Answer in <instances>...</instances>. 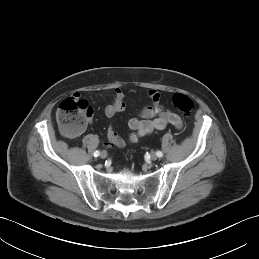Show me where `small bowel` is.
I'll return each instance as SVG.
<instances>
[{
	"label": "small bowel",
	"instance_id": "small-bowel-1",
	"mask_svg": "<svg viewBox=\"0 0 259 259\" xmlns=\"http://www.w3.org/2000/svg\"><path fill=\"white\" fill-rule=\"evenodd\" d=\"M112 96L111 103L105 109L106 116L110 118L125 109V99L122 90L119 88L113 89ZM148 98L152 103L151 106L142 109L139 118H131L128 121L130 133L127 136V141L130 143H136L154 131H162L167 125H172L179 130L183 127L182 119L160 104L161 95L158 91L150 90ZM91 120L92 115L89 118V122ZM107 140L109 144L115 147L122 148L125 146V140L119 136L113 126L108 128Z\"/></svg>",
	"mask_w": 259,
	"mask_h": 259
}]
</instances>
